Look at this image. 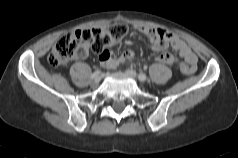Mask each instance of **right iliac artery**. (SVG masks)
<instances>
[{
	"label": "right iliac artery",
	"mask_w": 238,
	"mask_h": 158,
	"mask_svg": "<svg viewBox=\"0 0 238 158\" xmlns=\"http://www.w3.org/2000/svg\"><path fill=\"white\" fill-rule=\"evenodd\" d=\"M101 73L100 70H96L92 75H91V78H96L99 74Z\"/></svg>",
	"instance_id": "obj_1"
}]
</instances>
